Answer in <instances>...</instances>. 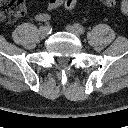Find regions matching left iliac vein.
<instances>
[{"instance_id":"left-iliac-vein-1","label":"left iliac vein","mask_w":128,"mask_h":128,"mask_svg":"<svg viewBox=\"0 0 128 128\" xmlns=\"http://www.w3.org/2000/svg\"><path fill=\"white\" fill-rule=\"evenodd\" d=\"M66 30H67L68 32L74 34V35L77 36V37L80 36L79 31H78L74 26H72V25H68V26L66 27Z\"/></svg>"}]
</instances>
